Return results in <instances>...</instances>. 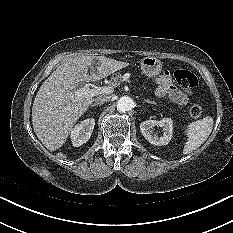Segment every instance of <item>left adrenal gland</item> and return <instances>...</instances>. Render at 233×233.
<instances>
[{
    "instance_id": "left-adrenal-gland-1",
    "label": "left adrenal gland",
    "mask_w": 233,
    "mask_h": 233,
    "mask_svg": "<svg viewBox=\"0 0 233 233\" xmlns=\"http://www.w3.org/2000/svg\"><path fill=\"white\" fill-rule=\"evenodd\" d=\"M143 103H150V104H155V105L157 104L156 102H154V101H150V100H148V99H147V100H144V102H143Z\"/></svg>"
}]
</instances>
